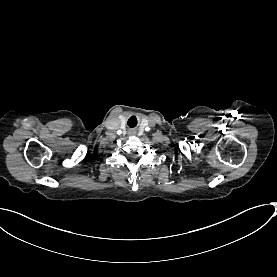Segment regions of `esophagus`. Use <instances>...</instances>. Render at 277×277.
Returning <instances> with one entry per match:
<instances>
[{"instance_id": "esophagus-1", "label": "esophagus", "mask_w": 277, "mask_h": 277, "mask_svg": "<svg viewBox=\"0 0 277 277\" xmlns=\"http://www.w3.org/2000/svg\"><path fill=\"white\" fill-rule=\"evenodd\" d=\"M137 134V131L135 129H131L128 131L129 136H135Z\"/></svg>"}]
</instances>
